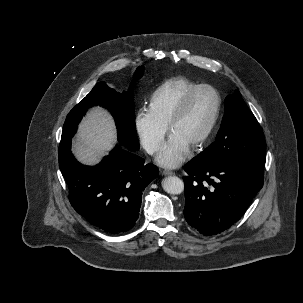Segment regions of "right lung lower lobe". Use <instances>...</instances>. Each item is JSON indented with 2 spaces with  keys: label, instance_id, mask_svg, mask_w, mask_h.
I'll return each instance as SVG.
<instances>
[{
  "label": "right lung lower lobe",
  "instance_id": "1",
  "mask_svg": "<svg viewBox=\"0 0 303 303\" xmlns=\"http://www.w3.org/2000/svg\"><path fill=\"white\" fill-rule=\"evenodd\" d=\"M59 167L73 208L91 224L111 234L128 232L138 219L142 192L159 170L123 145L96 166L80 164L71 141L60 144Z\"/></svg>",
  "mask_w": 303,
  "mask_h": 303
}]
</instances>
